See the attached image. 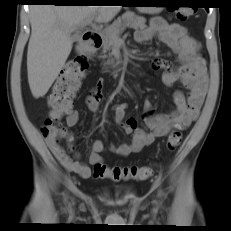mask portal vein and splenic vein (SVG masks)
<instances>
[{
	"label": "portal vein and splenic vein",
	"mask_w": 231,
	"mask_h": 231,
	"mask_svg": "<svg viewBox=\"0 0 231 231\" xmlns=\"http://www.w3.org/2000/svg\"><path fill=\"white\" fill-rule=\"evenodd\" d=\"M92 21H93V18L92 17H89L88 19L85 20L84 24L85 25H88V24H92ZM125 28L122 29V31L124 30ZM119 36L116 37V39H118Z\"/></svg>",
	"instance_id": "18ae733b"
}]
</instances>
